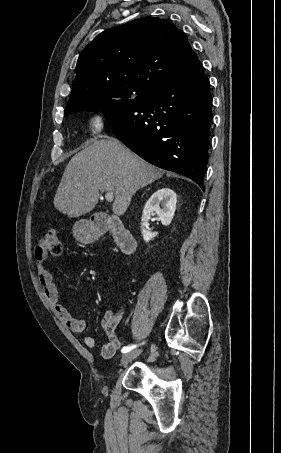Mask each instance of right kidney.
I'll return each instance as SVG.
<instances>
[{
    "instance_id": "right-kidney-1",
    "label": "right kidney",
    "mask_w": 281,
    "mask_h": 453,
    "mask_svg": "<svg viewBox=\"0 0 281 453\" xmlns=\"http://www.w3.org/2000/svg\"><path fill=\"white\" fill-rule=\"evenodd\" d=\"M176 202L177 194L172 188H168V186L159 188V190L153 192L152 196L147 200L143 208V216H149V214L156 212L162 224H170L174 216ZM144 227H149V222H143L142 224V237L144 241L148 243V241H151L158 233H151V231H147Z\"/></svg>"
}]
</instances>
